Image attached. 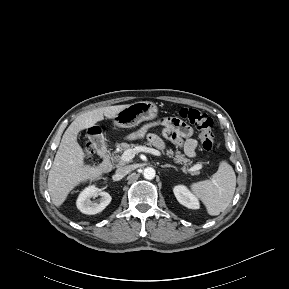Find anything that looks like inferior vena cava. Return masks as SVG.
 <instances>
[{
	"label": "inferior vena cava",
	"instance_id": "602c4592",
	"mask_svg": "<svg viewBox=\"0 0 289 289\" xmlns=\"http://www.w3.org/2000/svg\"><path fill=\"white\" fill-rule=\"evenodd\" d=\"M133 170V167L132 166H124V167H119L117 170H116V174H115V177L117 179H121L123 178L124 176H126L128 173H130L131 171Z\"/></svg>",
	"mask_w": 289,
	"mask_h": 289
}]
</instances>
